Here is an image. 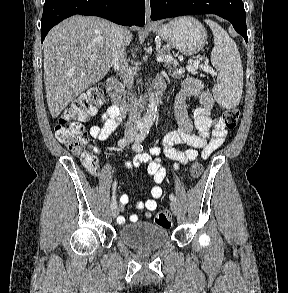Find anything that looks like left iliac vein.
<instances>
[{
    "instance_id": "obj_1",
    "label": "left iliac vein",
    "mask_w": 288,
    "mask_h": 293,
    "mask_svg": "<svg viewBox=\"0 0 288 293\" xmlns=\"http://www.w3.org/2000/svg\"><path fill=\"white\" fill-rule=\"evenodd\" d=\"M170 209H171V211L173 212L174 215H177L178 212H179L178 205H177V203L174 202V201H172V202L170 203Z\"/></svg>"
}]
</instances>
